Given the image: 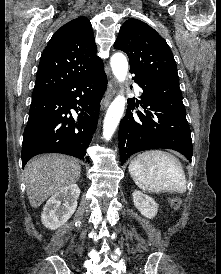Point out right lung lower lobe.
Masks as SVG:
<instances>
[{
	"label": "right lung lower lobe",
	"mask_w": 221,
	"mask_h": 274,
	"mask_svg": "<svg viewBox=\"0 0 221 274\" xmlns=\"http://www.w3.org/2000/svg\"><path fill=\"white\" fill-rule=\"evenodd\" d=\"M107 88L104 67L49 93L32 97L24 130L22 165L41 153H62L89 162L86 149L96 129ZM71 109L79 113L73 117Z\"/></svg>",
	"instance_id": "98d812e1"
}]
</instances>
